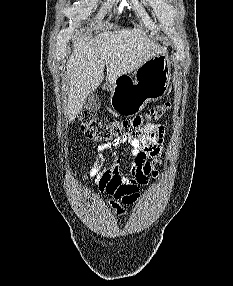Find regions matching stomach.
I'll list each match as a JSON object with an SVG mask.
<instances>
[{
  "instance_id": "0dacf381",
  "label": "stomach",
  "mask_w": 233,
  "mask_h": 286,
  "mask_svg": "<svg viewBox=\"0 0 233 286\" xmlns=\"http://www.w3.org/2000/svg\"><path fill=\"white\" fill-rule=\"evenodd\" d=\"M171 61L164 52L143 63L135 71V79L122 75L110 87V103L122 116H133L147 103L158 100L166 93L170 83ZM127 76V77H123Z\"/></svg>"
}]
</instances>
